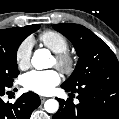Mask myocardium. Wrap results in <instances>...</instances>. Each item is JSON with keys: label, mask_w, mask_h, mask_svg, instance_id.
Returning a JSON list of instances; mask_svg holds the SVG:
<instances>
[{"label": "myocardium", "mask_w": 119, "mask_h": 119, "mask_svg": "<svg viewBox=\"0 0 119 119\" xmlns=\"http://www.w3.org/2000/svg\"><path fill=\"white\" fill-rule=\"evenodd\" d=\"M56 67L64 73H71L75 67V59L69 51L55 53Z\"/></svg>", "instance_id": "f54148a6"}]
</instances>
